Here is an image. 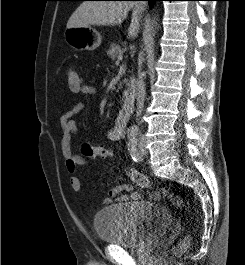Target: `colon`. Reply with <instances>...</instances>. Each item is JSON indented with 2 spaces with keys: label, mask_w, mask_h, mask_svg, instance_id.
I'll use <instances>...</instances> for the list:
<instances>
[{
  "label": "colon",
  "mask_w": 245,
  "mask_h": 265,
  "mask_svg": "<svg viewBox=\"0 0 245 265\" xmlns=\"http://www.w3.org/2000/svg\"><path fill=\"white\" fill-rule=\"evenodd\" d=\"M66 80L69 89L72 92L78 93L82 84L81 78L79 74L74 69H68L66 73ZM82 154L85 157L91 159H115L114 153L107 148L102 146H95L91 144H84L82 146ZM126 175L137 185L144 187V188H153L152 183L150 180L140 172L132 169V168H125ZM156 192L166 198L174 207L178 209H184L185 203L181 196L174 194L169 191L168 187H160L154 188ZM190 244V237L185 236L176 246L173 247V253H179L188 248Z\"/></svg>",
  "instance_id": "5ec220e1"
}]
</instances>
